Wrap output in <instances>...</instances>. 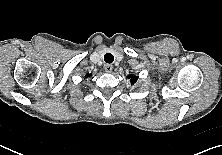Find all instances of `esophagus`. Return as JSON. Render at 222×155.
Wrapping results in <instances>:
<instances>
[{
  "label": "esophagus",
  "instance_id": "1",
  "mask_svg": "<svg viewBox=\"0 0 222 155\" xmlns=\"http://www.w3.org/2000/svg\"><path fill=\"white\" fill-rule=\"evenodd\" d=\"M104 69L107 73H110L113 70V65L112 64H106L104 66Z\"/></svg>",
  "mask_w": 222,
  "mask_h": 155
}]
</instances>
